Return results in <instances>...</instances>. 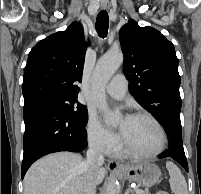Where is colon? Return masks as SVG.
Here are the masks:
<instances>
[{"mask_svg": "<svg viewBox=\"0 0 201 194\" xmlns=\"http://www.w3.org/2000/svg\"><path fill=\"white\" fill-rule=\"evenodd\" d=\"M156 194H169V193L165 190H159L156 192Z\"/></svg>", "mask_w": 201, "mask_h": 194, "instance_id": "colon-1", "label": "colon"}]
</instances>
